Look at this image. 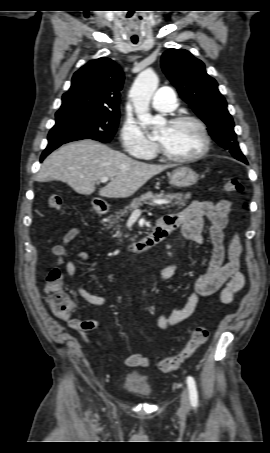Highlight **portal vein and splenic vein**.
<instances>
[{
	"label": "portal vein and splenic vein",
	"mask_w": 270,
	"mask_h": 453,
	"mask_svg": "<svg viewBox=\"0 0 270 453\" xmlns=\"http://www.w3.org/2000/svg\"><path fill=\"white\" fill-rule=\"evenodd\" d=\"M108 180H109L108 177H102V178L100 179V181H101L102 183H106V182H108ZM168 202H169V201H165V200H158V201H156L157 204H166V203H168ZM140 214H141V211H140L139 209H135V210L133 211V215H140Z\"/></svg>",
	"instance_id": "1"
}]
</instances>
